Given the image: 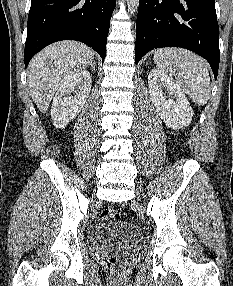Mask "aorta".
Returning a JSON list of instances; mask_svg holds the SVG:
<instances>
[{
  "mask_svg": "<svg viewBox=\"0 0 233 286\" xmlns=\"http://www.w3.org/2000/svg\"><path fill=\"white\" fill-rule=\"evenodd\" d=\"M128 12L134 15L138 11L139 0H127Z\"/></svg>",
  "mask_w": 233,
  "mask_h": 286,
  "instance_id": "1",
  "label": "aorta"
}]
</instances>
